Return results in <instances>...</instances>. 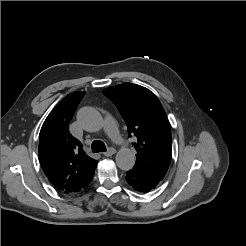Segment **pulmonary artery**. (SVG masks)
Segmentation results:
<instances>
[{"instance_id":"pulmonary-artery-1","label":"pulmonary artery","mask_w":246,"mask_h":246,"mask_svg":"<svg viewBox=\"0 0 246 246\" xmlns=\"http://www.w3.org/2000/svg\"><path fill=\"white\" fill-rule=\"evenodd\" d=\"M105 128L109 135L117 142L121 141L117 125L112 117H106L104 122Z\"/></svg>"}]
</instances>
